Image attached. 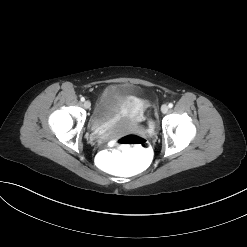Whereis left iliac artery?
Masks as SVG:
<instances>
[{"mask_svg":"<svg viewBox=\"0 0 247 247\" xmlns=\"http://www.w3.org/2000/svg\"><path fill=\"white\" fill-rule=\"evenodd\" d=\"M168 107L169 108H172L173 107V104L172 103H169Z\"/></svg>","mask_w":247,"mask_h":247,"instance_id":"44dca946","label":"left iliac artery"}]
</instances>
